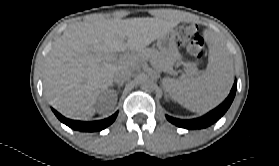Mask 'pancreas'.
<instances>
[{
	"label": "pancreas",
	"mask_w": 279,
	"mask_h": 166,
	"mask_svg": "<svg viewBox=\"0 0 279 166\" xmlns=\"http://www.w3.org/2000/svg\"><path fill=\"white\" fill-rule=\"evenodd\" d=\"M138 57L144 61H150L151 64L158 70H167L172 66V60L165 57L158 50L153 48H147L142 50Z\"/></svg>",
	"instance_id": "obj_1"
}]
</instances>
